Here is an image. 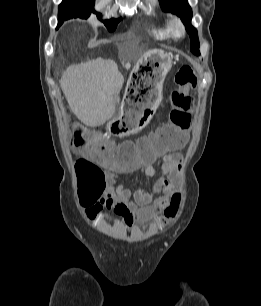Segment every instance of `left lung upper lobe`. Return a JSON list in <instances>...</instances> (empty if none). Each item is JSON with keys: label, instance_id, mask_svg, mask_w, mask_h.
<instances>
[{"label": "left lung upper lobe", "instance_id": "1", "mask_svg": "<svg viewBox=\"0 0 261 306\" xmlns=\"http://www.w3.org/2000/svg\"><path fill=\"white\" fill-rule=\"evenodd\" d=\"M162 8L165 11H170L179 16L184 23L187 32L190 34V49L196 54L199 52V40L197 30L191 25L192 10L188 5L187 0H159Z\"/></svg>", "mask_w": 261, "mask_h": 306}]
</instances>
